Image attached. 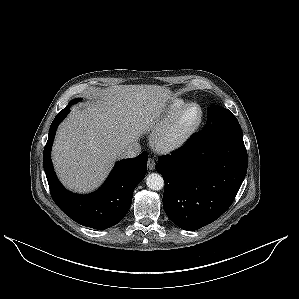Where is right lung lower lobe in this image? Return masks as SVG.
Here are the masks:
<instances>
[{
  "label": "right lung lower lobe",
  "mask_w": 299,
  "mask_h": 299,
  "mask_svg": "<svg viewBox=\"0 0 299 299\" xmlns=\"http://www.w3.org/2000/svg\"><path fill=\"white\" fill-rule=\"evenodd\" d=\"M68 104L53 120L43 153V166L51 196L56 205L80 225L104 230L119 223L128 212L133 191L147 172V152L117 162L104 184L90 195L67 191L56 177L51 161V148L59 123L70 112Z\"/></svg>",
  "instance_id": "1"
}]
</instances>
